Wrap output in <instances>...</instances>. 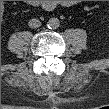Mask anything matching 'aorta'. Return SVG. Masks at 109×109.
<instances>
[{
	"instance_id": "1",
	"label": "aorta",
	"mask_w": 109,
	"mask_h": 109,
	"mask_svg": "<svg viewBox=\"0 0 109 109\" xmlns=\"http://www.w3.org/2000/svg\"><path fill=\"white\" fill-rule=\"evenodd\" d=\"M60 25V21L58 18H50L47 22V26L51 29H56Z\"/></svg>"
}]
</instances>
